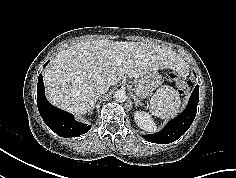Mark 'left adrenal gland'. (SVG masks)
<instances>
[{
  "label": "left adrenal gland",
  "mask_w": 236,
  "mask_h": 178,
  "mask_svg": "<svg viewBox=\"0 0 236 178\" xmlns=\"http://www.w3.org/2000/svg\"><path fill=\"white\" fill-rule=\"evenodd\" d=\"M134 102H135V106L143 105V103H141L140 100L137 98H134Z\"/></svg>",
  "instance_id": "left-adrenal-gland-1"
}]
</instances>
